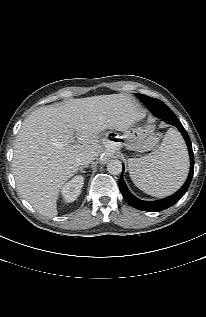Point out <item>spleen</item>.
<instances>
[{"instance_id": "obj_1", "label": "spleen", "mask_w": 206, "mask_h": 317, "mask_svg": "<svg viewBox=\"0 0 206 317\" xmlns=\"http://www.w3.org/2000/svg\"><path fill=\"white\" fill-rule=\"evenodd\" d=\"M189 159L185 143L178 131L169 129L154 152L129 160L133 183L145 193L163 197L175 192L185 181Z\"/></svg>"}]
</instances>
